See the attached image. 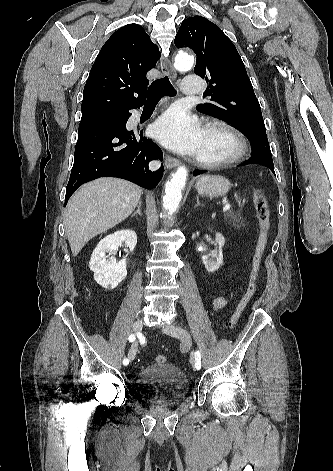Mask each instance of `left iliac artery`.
Returning a JSON list of instances; mask_svg holds the SVG:
<instances>
[{"label":"left iliac artery","instance_id":"obj_1","mask_svg":"<svg viewBox=\"0 0 333 471\" xmlns=\"http://www.w3.org/2000/svg\"><path fill=\"white\" fill-rule=\"evenodd\" d=\"M195 368L197 370L201 368V354L199 351L195 352Z\"/></svg>","mask_w":333,"mask_h":471}]
</instances>
